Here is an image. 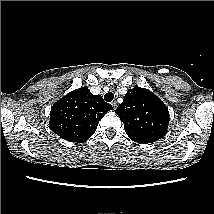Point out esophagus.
Returning a JSON list of instances; mask_svg holds the SVG:
<instances>
[{"mask_svg": "<svg viewBox=\"0 0 214 214\" xmlns=\"http://www.w3.org/2000/svg\"><path fill=\"white\" fill-rule=\"evenodd\" d=\"M111 105H112L113 109L115 110L116 107H117V102H116V101H112V102H111Z\"/></svg>", "mask_w": 214, "mask_h": 214, "instance_id": "esophagus-1", "label": "esophagus"}]
</instances>
